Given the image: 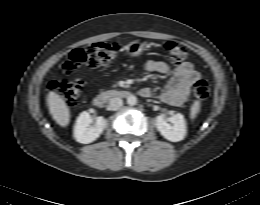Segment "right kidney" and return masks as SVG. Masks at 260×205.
<instances>
[{
  "mask_svg": "<svg viewBox=\"0 0 260 205\" xmlns=\"http://www.w3.org/2000/svg\"><path fill=\"white\" fill-rule=\"evenodd\" d=\"M93 118L84 111L76 120L74 126V137L77 142L88 144L95 141L106 127V120L103 117H97L95 124L92 126Z\"/></svg>",
  "mask_w": 260,
  "mask_h": 205,
  "instance_id": "ca27d5eb",
  "label": "right kidney"
}]
</instances>
